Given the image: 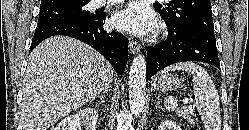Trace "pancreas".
Wrapping results in <instances>:
<instances>
[{"instance_id": "1", "label": "pancreas", "mask_w": 249, "mask_h": 130, "mask_svg": "<svg viewBox=\"0 0 249 130\" xmlns=\"http://www.w3.org/2000/svg\"><path fill=\"white\" fill-rule=\"evenodd\" d=\"M178 116L181 117V118L186 119V120L189 121L190 123H193V118H192V116L190 115V110L187 109V108H183L182 110H180V111L178 112Z\"/></svg>"}]
</instances>
